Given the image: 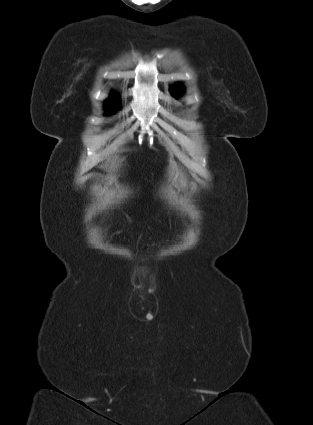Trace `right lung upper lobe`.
I'll return each mask as SVG.
<instances>
[{"instance_id": "1", "label": "right lung upper lobe", "mask_w": 313, "mask_h": 425, "mask_svg": "<svg viewBox=\"0 0 313 425\" xmlns=\"http://www.w3.org/2000/svg\"><path fill=\"white\" fill-rule=\"evenodd\" d=\"M107 102H115V103H117L115 98H110Z\"/></svg>"}]
</instances>
